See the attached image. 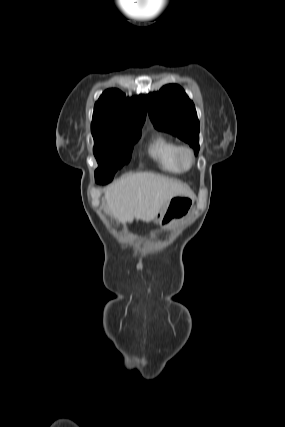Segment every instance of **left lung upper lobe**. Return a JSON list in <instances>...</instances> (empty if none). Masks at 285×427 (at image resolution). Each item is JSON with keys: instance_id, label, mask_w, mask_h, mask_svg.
Here are the masks:
<instances>
[{"instance_id": "5c2ea615", "label": "left lung upper lobe", "mask_w": 285, "mask_h": 427, "mask_svg": "<svg viewBox=\"0 0 285 427\" xmlns=\"http://www.w3.org/2000/svg\"><path fill=\"white\" fill-rule=\"evenodd\" d=\"M151 121L158 130L169 132L199 151V120L194 103L179 85H166L146 96Z\"/></svg>"}]
</instances>
